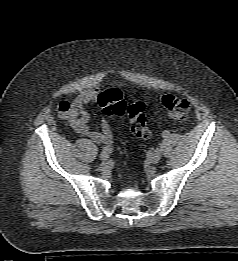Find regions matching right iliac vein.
<instances>
[{"label":"right iliac vein","instance_id":"right-iliac-vein-1","mask_svg":"<svg viewBox=\"0 0 238 261\" xmlns=\"http://www.w3.org/2000/svg\"><path fill=\"white\" fill-rule=\"evenodd\" d=\"M108 158H109V155H108L107 153L101 152V154H100V159H101L102 161H107Z\"/></svg>","mask_w":238,"mask_h":261}]
</instances>
